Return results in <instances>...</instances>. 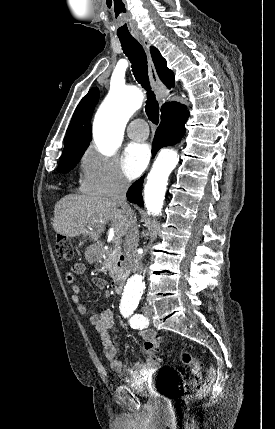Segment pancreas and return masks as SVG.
I'll return each mask as SVG.
<instances>
[{
  "label": "pancreas",
  "instance_id": "cf45deb5",
  "mask_svg": "<svg viewBox=\"0 0 275 429\" xmlns=\"http://www.w3.org/2000/svg\"><path fill=\"white\" fill-rule=\"evenodd\" d=\"M121 255L119 249H109L103 262V266L109 271V275L116 279L122 275V269L118 268V262Z\"/></svg>",
  "mask_w": 275,
  "mask_h": 429
}]
</instances>
